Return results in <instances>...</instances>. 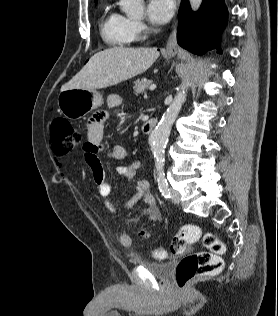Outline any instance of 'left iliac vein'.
<instances>
[{
	"instance_id": "left-iliac-vein-1",
	"label": "left iliac vein",
	"mask_w": 278,
	"mask_h": 316,
	"mask_svg": "<svg viewBox=\"0 0 278 316\" xmlns=\"http://www.w3.org/2000/svg\"><path fill=\"white\" fill-rule=\"evenodd\" d=\"M170 194H171L172 201L175 204H179V202H180V193L177 190L171 188L170 189Z\"/></svg>"
}]
</instances>
